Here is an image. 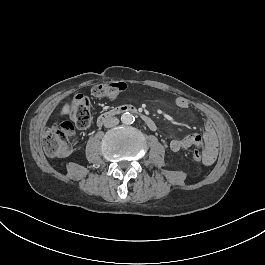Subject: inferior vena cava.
<instances>
[{
  "mask_svg": "<svg viewBox=\"0 0 265 265\" xmlns=\"http://www.w3.org/2000/svg\"><path fill=\"white\" fill-rule=\"evenodd\" d=\"M119 124V119L117 117H107L104 120V127L111 128Z\"/></svg>",
  "mask_w": 265,
  "mask_h": 265,
  "instance_id": "inferior-vena-cava-1",
  "label": "inferior vena cava"
}]
</instances>
